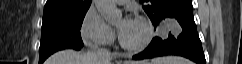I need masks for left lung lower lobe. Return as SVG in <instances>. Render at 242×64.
<instances>
[{
  "label": "left lung lower lobe",
  "mask_w": 242,
  "mask_h": 64,
  "mask_svg": "<svg viewBox=\"0 0 242 64\" xmlns=\"http://www.w3.org/2000/svg\"><path fill=\"white\" fill-rule=\"evenodd\" d=\"M165 19H175L182 27L178 36L169 33L167 39L153 38L149 46L141 53L134 55L133 59L142 60L166 55H178L186 57L197 64H206L202 44L197 33L193 17V6L186 3L166 12L160 20L154 23V27Z\"/></svg>",
  "instance_id": "left-lung-lower-lobe-1"
}]
</instances>
